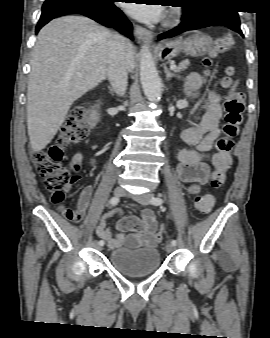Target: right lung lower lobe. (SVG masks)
Segmentation results:
<instances>
[{
  "label": "right lung lower lobe",
  "mask_w": 270,
  "mask_h": 338,
  "mask_svg": "<svg viewBox=\"0 0 270 338\" xmlns=\"http://www.w3.org/2000/svg\"><path fill=\"white\" fill-rule=\"evenodd\" d=\"M116 0H46L36 26V33L50 20L68 14H82L96 22L112 27L132 38V24L123 12L114 5Z\"/></svg>",
  "instance_id": "obj_1"
}]
</instances>
